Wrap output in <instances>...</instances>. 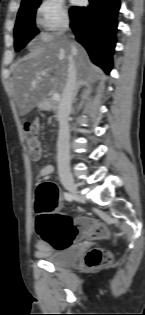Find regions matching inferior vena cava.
<instances>
[{"label":"inferior vena cava","instance_id":"602c4592","mask_svg":"<svg viewBox=\"0 0 145 315\" xmlns=\"http://www.w3.org/2000/svg\"><path fill=\"white\" fill-rule=\"evenodd\" d=\"M77 88V71L72 57L69 58L66 84L59 102L57 116L59 134L57 140V167L61 180L71 179L70 171V132L68 117L71 113L72 102Z\"/></svg>","mask_w":145,"mask_h":315}]
</instances>
